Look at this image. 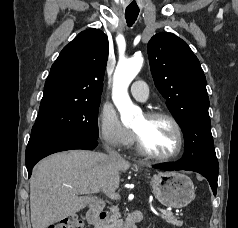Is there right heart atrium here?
<instances>
[{
    "instance_id": "right-heart-atrium-1",
    "label": "right heart atrium",
    "mask_w": 238,
    "mask_h": 228,
    "mask_svg": "<svg viewBox=\"0 0 238 228\" xmlns=\"http://www.w3.org/2000/svg\"><path fill=\"white\" fill-rule=\"evenodd\" d=\"M98 133L102 143L111 149L125 148L133 138L131 131L122 124L117 112L108 104L99 113Z\"/></svg>"
}]
</instances>
